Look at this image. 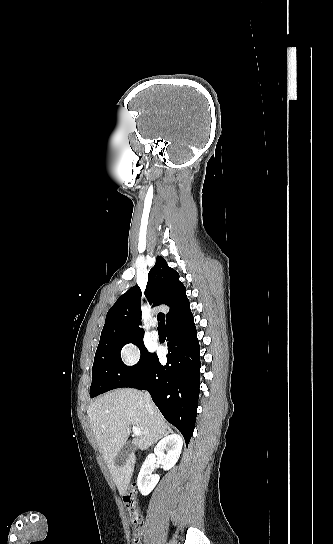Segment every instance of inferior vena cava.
<instances>
[{
    "label": "inferior vena cava",
    "instance_id": "602c4592",
    "mask_svg": "<svg viewBox=\"0 0 333 544\" xmlns=\"http://www.w3.org/2000/svg\"><path fill=\"white\" fill-rule=\"evenodd\" d=\"M144 399H145V402H146L147 411L150 413V415H152L153 414V404L151 402V397H150V394L148 392H145Z\"/></svg>",
    "mask_w": 333,
    "mask_h": 544
}]
</instances>
